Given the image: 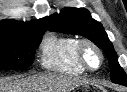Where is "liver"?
<instances>
[{
    "instance_id": "1",
    "label": "liver",
    "mask_w": 127,
    "mask_h": 92,
    "mask_svg": "<svg viewBox=\"0 0 127 92\" xmlns=\"http://www.w3.org/2000/svg\"><path fill=\"white\" fill-rule=\"evenodd\" d=\"M88 81L78 77L44 74L8 81L0 79V92H70Z\"/></svg>"
}]
</instances>
